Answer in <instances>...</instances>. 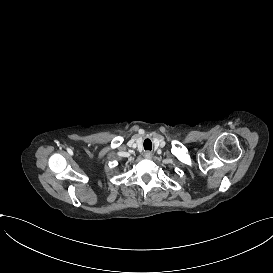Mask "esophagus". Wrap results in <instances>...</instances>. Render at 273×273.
<instances>
[{"mask_svg": "<svg viewBox=\"0 0 273 273\" xmlns=\"http://www.w3.org/2000/svg\"><path fill=\"white\" fill-rule=\"evenodd\" d=\"M144 157H145L146 159H151V158H152V153H151V152H146V153L144 154Z\"/></svg>", "mask_w": 273, "mask_h": 273, "instance_id": "34e87169", "label": "esophagus"}]
</instances>
